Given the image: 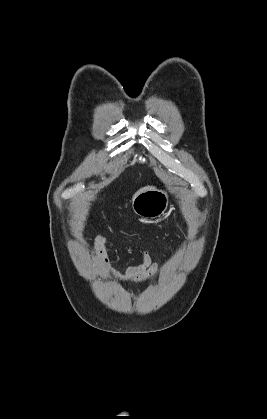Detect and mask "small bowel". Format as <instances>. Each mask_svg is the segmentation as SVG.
Wrapping results in <instances>:
<instances>
[{"label": "small bowel", "instance_id": "small-bowel-1", "mask_svg": "<svg viewBox=\"0 0 267 419\" xmlns=\"http://www.w3.org/2000/svg\"><path fill=\"white\" fill-rule=\"evenodd\" d=\"M78 239L81 238L79 234ZM106 237L99 235L95 241L97 260L100 268L113 279L120 282H145L151 279L158 271V264L153 262L148 252L143 253V260L138 265L129 266L123 273L117 272L109 263L105 251Z\"/></svg>", "mask_w": 267, "mask_h": 419}]
</instances>
